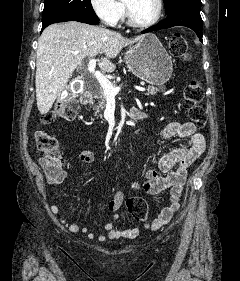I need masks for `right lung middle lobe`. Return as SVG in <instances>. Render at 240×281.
Instances as JSON below:
<instances>
[{"label": "right lung middle lobe", "instance_id": "right-lung-middle-lobe-1", "mask_svg": "<svg viewBox=\"0 0 240 281\" xmlns=\"http://www.w3.org/2000/svg\"><path fill=\"white\" fill-rule=\"evenodd\" d=\"M63 16L97 18L90 0H45L43 24Z\"/></svg>", "mask_w": 240, "mask_h": 281}]
</instances>
